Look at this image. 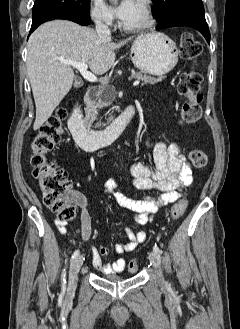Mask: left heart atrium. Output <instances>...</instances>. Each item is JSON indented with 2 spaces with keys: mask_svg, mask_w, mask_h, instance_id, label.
I'll use <instances>...</instances> for the list:
<instances>
[{
  "mask_svg": "<svg viewBox=\"0 0 240 329\" xmlns=\"http://www.w3.org/2000/svg\"><path fill=\"white\" fill-rule=\"evenodd\" d=\"M136 0H119L112 2L111 13L120 20H126L132 13Z\"/></svg>",
  "mask_w": 240,
  "mask_h": 329,
  "instance_id": "39dd6f15",
  "label": "left heart atrium"
}]
</instances>
